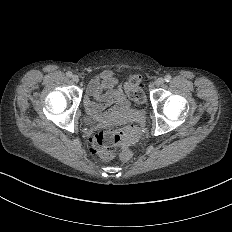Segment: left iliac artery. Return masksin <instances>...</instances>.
<instances>
[{
    "mask_svg": "<svg viewBox=\"0 0 232 232\" xmlns=\"http://www.w3.org/2000/svg\"><path fill=\"white\" fill-rule=\"evenodd\" d=\"M171 79H172L171 75H166V76L164 77V80H165L166 82H170Z\"/></svg>",
    "mask_w": 232,
    "mask_h": 232,
    "instance_id": "44dca946",
    "label": "left iliac artery"
}]
</instances>
